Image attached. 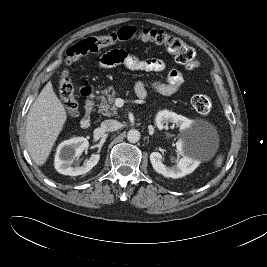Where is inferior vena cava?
Listing matches in <instances>:
<instances>
[{
	"label": "inferior vena cava",
	"instance_id": "obj_1",
	"mask_svg": "<svg viewBox=\"0 0 267 267\" xmlns=\"http://www.w3.org/2000/svg\"><path fill=\"white\" fill-rule=\"evenodd\" d=\"M120 127H121L120 122H118L117 120H113V119L105 120L101 123L102 130L106 132L116 131Z\"/></svg>",
	"mask_w": 267,
	"mask_h": 267
}]
</instances>
